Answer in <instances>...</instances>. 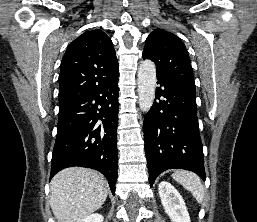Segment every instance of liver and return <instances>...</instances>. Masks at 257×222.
<instances>
[{
  "instance_id": "liver-1",
  "label": "liver",
  "mask_w": 257,
  "mask_h": 222,
  "mask_svg": "<svg viewBox=\"0 0 257 222\" xmlns=\"http://www.w3.org/2000/svg\"><path fill=\"white\" fill-rule=\"evenodd\" d=\"M50 187V205L57 222H81L98 210L108 195L106 179L80 167L60 171Z\"/></svg>"
}]
</instances>
